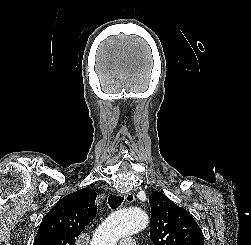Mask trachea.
Wrapping results in <instances>:
<instances>
[{"label":"trachea","instance_id":"obj_1","mask_svg":"<svg viewBox=\"0 0 251 245\" xmlns=\"http://www.w3.org/2000/svg\"><path fill=\"white\" fill-rule=\"evenodd\" d=\"M123 202V197L117 195H110L108 198V203L111 208L116 209L118 208L121 203Z\"/></svg>","mask_w":251,"mask_h":245}]
</instances>
